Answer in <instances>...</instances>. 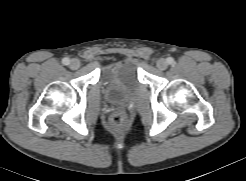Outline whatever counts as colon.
Segmentation results:
<instances>
[{
    "mask_svg": "<svg viewBox=\"0 0 246 181\" xmlns=\"http://www.w3.org/2000/svg\"><path fill=\"white\" fill-rule=\"evenodd\" d=\"M110 125L117 132L123 131L127 127V118L122 113H115L110 118Z\"/></svg>",
    "mask_w": 246,
    "mask_h": 181,
    "instance_id": "1",
    "label": "colon"
}]
</instances>
